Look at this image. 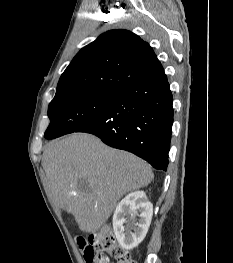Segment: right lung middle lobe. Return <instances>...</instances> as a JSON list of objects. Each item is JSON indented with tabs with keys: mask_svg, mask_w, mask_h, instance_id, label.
Here are the masks:
<instances>
[{
	"mask_svg": "<svg viewBox=\"0 0 233 263\" xmlns=\"http://www.w3.org/2000/svg\"><path fill=\"white\" fill-rule=\"evenodd\" d=\"M117 92L83 90L55 96L49 104L50 125L44 136L53 139L76 132L98 117L112 102Z\"/></svg>",
	"mask_w": 233,
	"mask_h": 263,
	"instance_id": "obj_1",
	"label": "right lung middle lobe"
}]
</instances>
